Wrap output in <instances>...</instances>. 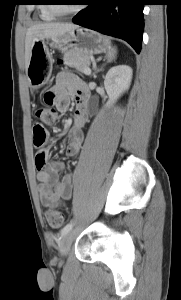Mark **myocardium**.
<instances>
[{"label": "myocardium", "mask_w": 181, "mask_h": 300, "mask_svg": "<svg viewBox=\"0 0 181 300\" xmlns=\"http://www.w3.org/2000/svg\"><path fill=\"white\" fill-rule=\"evenodd\" d=\"M47 2H48L47 7H48L49 11L54 16H57V17H65V16L73 15V14L77 13V11H78V8H74V9H71L68 11H63L58 8L57 4H55L53 0H48Z\"/></svg>", "instance_id": "obj_1"}]
</instances>
